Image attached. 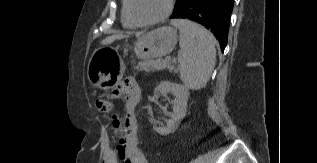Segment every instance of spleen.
<instances>
[{"label": "spleen", "mask_w": 317, "mask_h": 163, "mask_svg": "<svg viewBox=\"0 0 317 163\" xmlns=\"http://www.w3.org/2000/svg\"><path fill=\"white\" fill-rule=\"evenodd\" d=\"M171 24L180 31L178 63L185 87L199 90L206 86L216 62L213 35L189 20L176 19Z\"/></svg>", "instance_id": "1"}]
</instances>
